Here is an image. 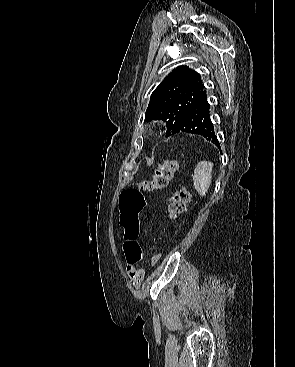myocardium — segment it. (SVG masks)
I'll use <instances>...</instances> for the list:
<instances>
[{
  "label": "myocardium",
  "mask_w": 295,
  "mask_h": 367,
  "mask_svg": "<svg viewBox=\"0 0 295 367\" xmlns=\"http://www.w3.org/2000/svg\"><path fill=\"white\" fill-rule=\"evenodd\" d=\"M153 130V128H150V131H152Z\"/></svg>",
  "instance_id": "obj_1"
}]
</instances>
